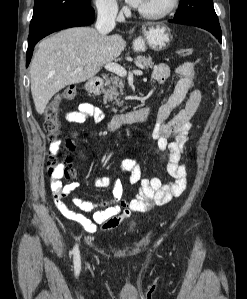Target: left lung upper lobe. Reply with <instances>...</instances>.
I'll return each mask as SVG.
<instances>
[{
    "instance_id": "left-lung-upper-lobe-1",
    "label": "left lung upper lobe",
    "mask_w": 247,
    "mask_h": 299,
    "mask_svg": "<svg viewBox=\"0 0 247 299\" xmlns=\"http://www.w3.org/2000/svg\"><path fill=\"white\" fill-rule=\"evenodd\" d=\"M189 15H201L211 20L218 21L212 0H180V5L174 18Z\"/></svg>"
}]
</instances>
